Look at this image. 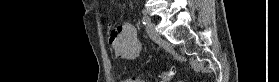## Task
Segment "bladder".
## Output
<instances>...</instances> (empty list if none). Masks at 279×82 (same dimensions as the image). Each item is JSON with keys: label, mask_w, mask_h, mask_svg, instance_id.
<instances>
[{"label": "bladder", "mask_w": 279, "mask_h": 82, "mask_svg": "<svg viewBox=\"0 0 279 82\" xmlns=\"http://www.w3.org/2000/svg\"><path fill=\"white\" fill-rule=\"evenodd\" d=\"M125 82H147L144 80H126Z\"/></svg>", "instance_id": "obj_1"}]
</instances>
